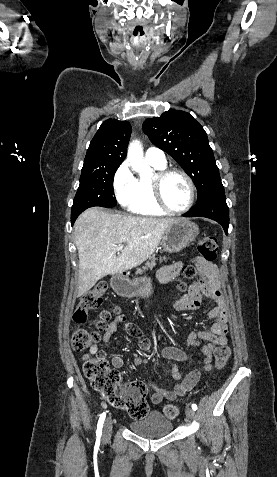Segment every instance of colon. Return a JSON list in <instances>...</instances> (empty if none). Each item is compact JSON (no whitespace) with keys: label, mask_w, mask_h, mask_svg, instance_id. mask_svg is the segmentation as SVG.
<instances>
[{"label":"colon","mask_w":277,"mask_h":477,"mask_svg":"<svg viewBox=\"0 0 277 477\" xmlns=\"http://www.w3.org/2000/svg\"><path fill=\"white\" fill-rule=\"evenodd\" d=\"M197 251L201 256L213 261L218 257V242L213 236H206L200 239L196 244ZM185 278H192L195 270L192 266H186L182 269ZM184 287V285L182 286ZM107 290L105 283H98L92 290L84 294L75 309L72 319L76 324H84L88 320V313L91 310L98 309ZM113 310H101L97 319L94 321V328L88 330L76 327L72 331V346L77 351H82L94 343L98 342L100 335L107 328ZM230 357V349L222 345L215 350V366L223 368ZM83 371L86 378L90 381L95 391L100 393L102 398L112 407L126 411L131 417L141 419L149 411L148 403L145 400L146 386L140 381H134L128 384H122L119 373L112 369L104 356L86 355L83 361ZM164 415L173 419L178 415V408L175 405L168 404L163 409Z\"/></svg>","instance_id":"obj_1"}]
</instances>
